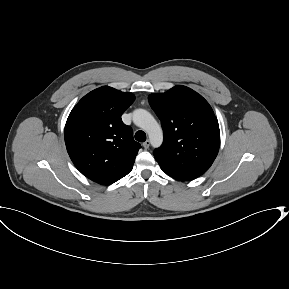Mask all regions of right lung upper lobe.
Returning <instances> with one entry per match:
<instances>
[{"label": "right lung upper lobe", "mask_w": 289, "mask_h": 289, "mask_svg": "<svg viewBox=\"0 0 289 289\" xmlns=\"http://www.w3.org/2000/svg\"><path fill=\"white\" fill-rule=\"evenodd\" d=\"M135 96L103 86L85 95L65 126V144L77 169L101 185L112 184L133 168L141 148L121 120Z\"/></svg>", "instance_id": "cb5924a9"}]
</instances>
